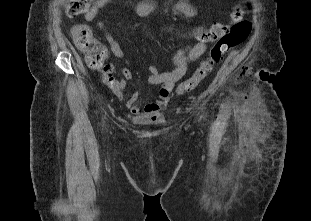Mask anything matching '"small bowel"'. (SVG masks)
I'll return each mask as SVG.
<instances>
[{"instance_id":"1","label":"small bowel","mask_w":311,"mask_h":221,"mask_svg":"<svg viewBox=\"0 0 311 221\" xmlns=\"http://www.w3.org/2000/svg\"><path fill=\"white\" fill-rule=\"evenodd\" d=\"M110 1L111 0H96L86 12L85 20L88 22L93 21ZM136 11L140 17L147 19L156 11V5L151 0H145L137 5ZM173 11L184 18H192L197 14L196 8L186 0L179 1L174 6ZM96 26L98 30L104 33L113 55L118 59H123V50L117 40L106 30L105 23L99 21ZM205 51L206 44L199 41L195 44L187 45L175 53L173 57L175 67L170 71L160 72L157 66L150 65L148 67V82L152 85H160L158 97L154 101L147 103L144 107H141L138 104L139 92L134 91L126 100V105L131 114L141 120H154L160 116L170 100L171 91L176 82H178L186 73L189 64L200 58ZM121 75L123 79L119 80L117 87H115L113 91L117 96L122 98L125 89V80L132 78V72L128 67H122Z\"/></svg>"}]
</instances>
